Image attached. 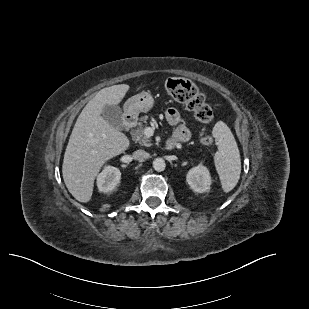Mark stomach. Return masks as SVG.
Masks as SVG:
<instances>
[{
  "instance_id": "obj_1",
  "label": "stomach",
  "mask_w": 309,
  "mask_h": 309,
  "mask_svg": "<svg viewBox=\"0 0 309 309\" xmlns=\"http://www.w3.org/2000/svg\"><path fill=\"white\" fill-rule=\"evenodd\" d=\"M154 104V99L150 92L142 91L141 93L129 98L125 104L124 109L127 115L138 116L139 113H147Z\"/></svg>"
}]
</instances>
